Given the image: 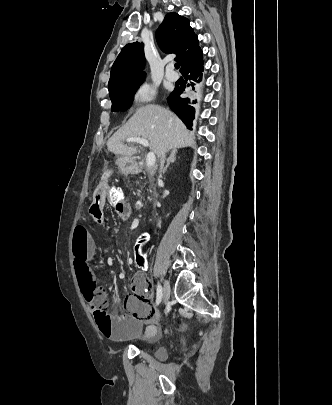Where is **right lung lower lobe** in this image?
Listing matches in <instances>:
<instances>
[{"instance_id": "98d812e1", "label": "right lung lower lobe", "mask_w": 332, "mask_h": 405, "mask_svg": "<svg viewBox=\"0 0 332 405\" xmlns=\"http://www.w3.org/2000/svg\"><path fill=\"white\" fill-rule=\"evenodd\" d=\"M203 59L187 66L183 71V76L189 80L187 86L198 88V84L202 80ZM184 91V88L176 87L174 91L167 98L168 104L172 111L184 122L188 129L192 128V121L195 114L196 100L190 101L188 98H181L179 95Z\"/></svg>"}]
</instances>
